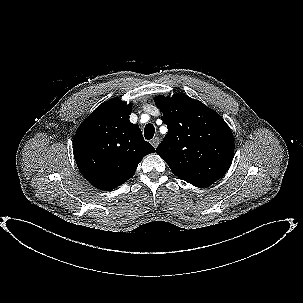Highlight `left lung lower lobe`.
I'll return each mask as SVG.
<instances>
[{"label": "left lung lower lobe", "mask_w": 303, "mask_h": 303, "mask_svg": "<svg viewBox=\"0 0 303 303\" xmlns=\"http://www.w3.org/2000/svg\"><path fill=\"white\" fill-rule=\"evenodd\" d=\"M211 184L212 183H196V184H192V185L197 186V187H205V186H209Z\"/></svg>", "instance_id": "obj_1"}]
</instances>
